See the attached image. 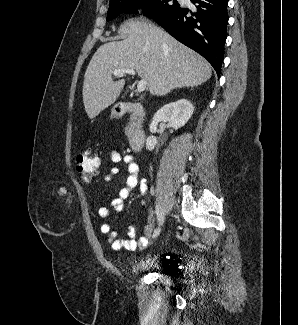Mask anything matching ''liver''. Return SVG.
Returning a JSON list of instances; mask_svg holds the SVG:
<instances>
[{"label": "liver", "instance_id": "liver-1", "mask_svg": "<svg viewBox=\"0 0 298 325\" xmlns=\"http://www.w3.org/2000/svg\"><path fill=\"white\" fill-rule=\"evenodd\" d=\"M119 32H126L127 38L101 44L86 68L82 98L88 118H95L113 104L124 88V94L128 92L130 86H125V78H112L116 68H135L138 76L147 80L150 94L155 96H164L173 88L198 86L212 74L203 56L154 22H134L130 18L120 26Z\"/></svg>", "mask_w": 298, "mask_h": 325}]
</instances>
